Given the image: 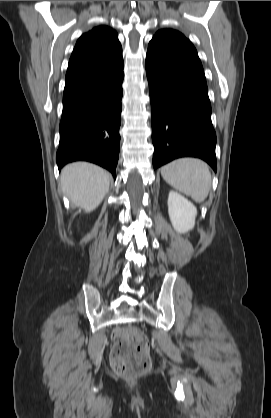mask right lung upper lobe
<instances>
[{"mask_svg":"<svg viewBox=\"0 0 271 418\" xmlns=\"http://www.w3.org/2000/svg\"><path fill=\"white\" fill-rule=\"evenodd\" d=\"M122 62V47L115 30L102 25L84 33L69 60L63 97L95 82Z\"/></svg>","mask_w":271,"mask_h":418,"instance_id":"1","label":"right lung upper lobe"}]
</instances>
